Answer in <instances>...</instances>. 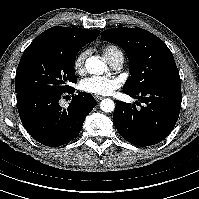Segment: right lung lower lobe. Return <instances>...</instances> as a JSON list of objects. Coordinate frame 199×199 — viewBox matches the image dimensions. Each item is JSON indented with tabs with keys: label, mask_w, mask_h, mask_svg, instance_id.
I'll return each instance as SVG.
<instances>
[{
	"label": "right lung lower lobe",
	"mask_w": 199,
	"mask_h": 199,
	"mask_svg": "<svg viewBox=\"0 0 199 199\" xmlns=\"http://www.w3.org/2000/svg\"><path fill=\"white\" fill-rule=\"evenodd\" d=\"M67 93H74V89L64 93L40 90L17 93L22 124L39 143L51 147L67 144L78 136L85 117L96 105L91 94L79 93L72 95V102L64 109L59 100Z\"/></svg>",
	"instance_id": "obj_1"
}]
</instances>
